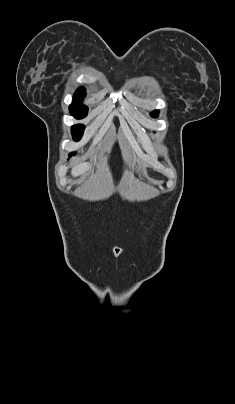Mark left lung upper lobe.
I'll use <instances>...</instances> for the list:
<instances>
[{
  "label": "left lung upper lobe",
  "instance_id": "obj_1",
  "mask_svg": "<svg viewBox=\"0 0 235 404\" xmlns=\"http://www.w3.org/2000/svg\"><path fill=\"white\" fill-rule=\"evenodd\" d=\"M151 116H153V117H157V116H158V111H154V112H152V113H151Z\"/></svg>",
  "mask_w": 235,
  "mask_h": 404
}]
</instances>
